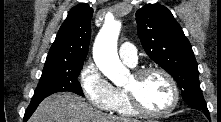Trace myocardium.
<instances>
[{
    "label": "myocardium",
    "mask_w": 221,
    "mask_h": 122,
    "mask_svg": "<svg viewBox=\"0 0 221 122\" xmlns=\"http://www.w3.org/2000/svg\"><path fill=\"white\" fill-rule=\"evenodd\" d=\"M151 73H158L162 75L170 85V88L172 91V101L166 109L161 110V111L149 110L142 104L134 88L126 87L125 91L130 101V104L132 105V107L135 109V111L138 114L148 116V117H163L173 112L179 103L180 96H179L178 85L175 79L173 78V76L168 71L157 66H150V67L139 69L133 74V78L135 79L136 82H139L145 76Z\"/></svg>",
    "instance_id": "obj_1"
}]
</instances>
